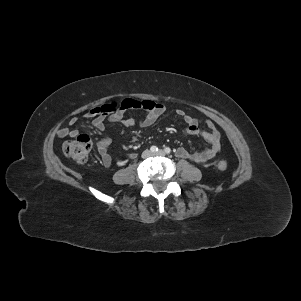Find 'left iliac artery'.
Here are the masks:
<instances>
[{"instance_id": "44dca946", "label": "left iliac artery", "mask_w": 301, "mask_h": 301, "mask_svg": "<svg viewBox=\"0 0 301 301\" xmlns=\"http://www.w3.org/2000/svg\"><path fill=\"white\" fill-rule=\"evenodd\" d=\"M164 151H165V153L169 154V153L171 152V149H170L169 147H166V148L164 149Z\"/></svg>"}]
</instances>
